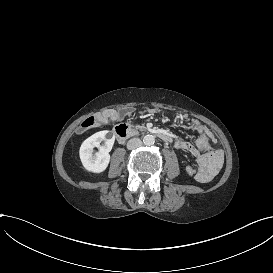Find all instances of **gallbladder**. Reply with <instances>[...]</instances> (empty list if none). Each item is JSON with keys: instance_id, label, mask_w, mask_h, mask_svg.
I'll return each instance as SVG.
<instances>
[{"instance_id": "bac80fb5", "label": "gallbladder", "mask_w": 273, "mask_h": 273, "mask_svg": "<svg viewBox=\"0 0 273 273\" xmlns=\"http://www.w3.org/2000/svg\"><path fill=\"white\" fill-rule=\"evenodd\" d=\"M136 108L135 107H126V108H124L123 110H119V120H124V118H125V116H127V115H133V114H135L136 113Z\"/></svg>"}]
</instances>
